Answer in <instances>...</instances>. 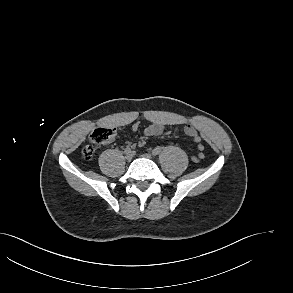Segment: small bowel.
Returning <instances> with one entry per match:
<instances>
[{
    "instance_id": "c3829d8e",
    "label": "small bowel",
    "mask_w": 293,
    "mask_h": 293,
    "mask_svg": "<svg viewBox=\"0 0 293 293\" xmlns=\"http://www.w3.org/2000/svg\"><path fill=\"white\" fill-rule=\"evenodd\" d=\"M145 118L149 121V124L146 126L144 133L146 136H158V135H172L174 134L172 131H169L165 128V126L168 124V121L160 117L152 112H149L145 115ZM131 128L133 130H137L139 127L138 122H132L130 124ZM183 133L186 136H189L194 139L196 143L201 142V137L199 136L197 130L190 124H185L183 127ZM145 141L141 140L140 145H144ZM198 148L200 151L204 150V146L199 144Z\"/></svg>"
}]
</instances>
